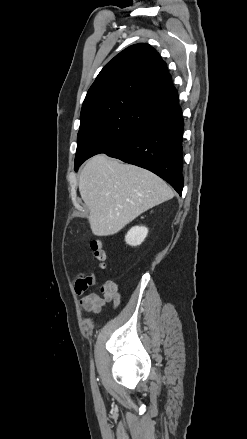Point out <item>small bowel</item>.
Segmentation results:
<instances>
[{"instance_id":"obj_1","label":"small bowel","mask_w":247,"mask_h":439,"mask_svg":"<svg viewBox=\"0 0 247 439\" xmlns=\"http://www.w3.org/2000/svg\"><path fill=\"white\" fill-rule=\"evenodd\" d=\"M95 285V278L92 274L79 275L73 282L77 295H82L78 303L82 311L100 314L103 308L109 303L117 306L120 302V285L111 280H105L100 285L101 295L95 292L85 294Z\"/></svg>"}]
</instances>
